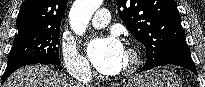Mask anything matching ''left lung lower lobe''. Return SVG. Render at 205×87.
I'll list each match as a JSON object with an SVG mask.
<instances>
[{
    "instance_id": "left-lung-lower-lobe-1",
    "label": "left lung lower lobe",
    "mask_w": 205,
    "mask_h": 87,
    "mask_svg": "<svg viewBox=\"0 0 205 87\" xmlns=\"http://www.w3.org/2000/svg\"><path fill=\"white\" fill-rule=\"evenodd\" d=\"M162 65H177L191 70L197 75L196 67L190 55L188 46H182L174 49L158 66ZM157 67V66H156ZM153 67L143 66L140 71L148 70Z\"/></svg>"
}]
</instances>
